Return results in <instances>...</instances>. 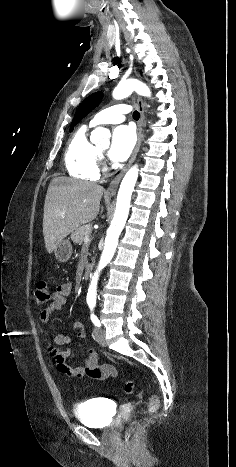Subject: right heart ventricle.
Segmentation results:
<instances>
[{
    "label": "right heart ventricle",
    "mask_w": 236,
    "mask_h": 467,
    "mask_svg": "<svg viewBox=\"0 0 236 467\" xmlns=\"http://www.w3.org/2000/svg\"><path fill=\"white\" fill-rule=\"evenodd\" d=\"M100 155L88 139V128L81 127L71 138L64 156L68 174L76 179L96 181L100 178Z\"/></svg>",
    "instance_id": "e07e8e85"
}]
</instances>
